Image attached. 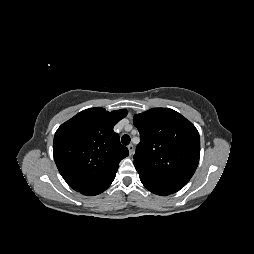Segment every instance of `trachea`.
<instances>
[{
    "instance_id": "trachea-1",
    "label": "trachea",
    "mask_w": 254,
    "mask_h": 254,
    "mask_svg": "<svg viewBox=\"0 0 254 254\" xmlns=\"http://www.w3.org/2000/svg\"><path fill=\"white\" fill-rule=\"evenodd\" d=\"M121 142L123 145H128L130 143V136L129 135H123L121 138Z\"/></svg>"
}]
</instances>
